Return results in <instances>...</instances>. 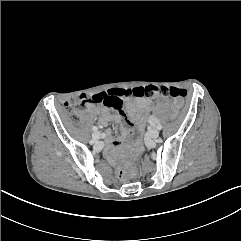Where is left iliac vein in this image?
<instances>
[{"mask_svg":"<svg viewBox=\"0 0 241 241\" xmlns=\"http://www.w3.org/2000/svg\"><path fill=\"white\" fill-rule=\"evenodd\" d=\"M149 137L150 138H153V139H155V138H157L158 136H159V131L156 129V128H153V129H151L150 131H149Z\"/></svg>","mask_w":241,"mask_h":241,"instance_id":"4c4485c4","label":"left iliac vein"}]
</instances>
